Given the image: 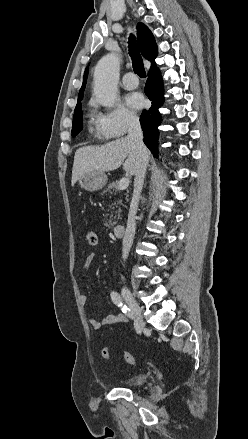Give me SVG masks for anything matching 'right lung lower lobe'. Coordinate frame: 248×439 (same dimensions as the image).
Here are the masks:
<instances>
[{"label": "right lung lower lobe", "instance_id": "obj_1", "mask_svg": "<svg viewBox=\"0 0 248 439\" xmlns=\"http://www.w3.org/2000/svg\"><path fill=\"white\" fill-rule=\"evenodd\" d=\"M145 92L152 101L149 110H144L140 117V123L144 134V143L150 149L154 156H157L158 149V126L161 122L159 108L164 102L163 81L159 70L156 67L151 68L148 74V80L145 86Z\"/></svg>", "mask_w": 248, "mask_h": 439}]
</instances>
